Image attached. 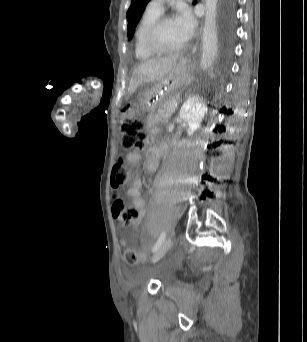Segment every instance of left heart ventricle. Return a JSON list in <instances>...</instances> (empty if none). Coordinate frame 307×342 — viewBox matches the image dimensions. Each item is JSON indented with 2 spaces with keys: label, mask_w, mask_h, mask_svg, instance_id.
I'll return each mask as SVG.
<instances>
[{
  "label": "left heart ventricle",
  "mask_w": 307,
  "mask_h": 342,
  "mask_svg": "<svg viewBox=\"0 0 307 342\" xmlns=\"http://www.w3.org/2000/svg\"><path fill=\"white\" fill-rule=\"evenodd\" d=\"M156 43L164 50L179 49L186 44L176 21L166 22L161 26L156 36Z\"/></svg>",
  "instance_id": "obj_1"
}]
</instances>
